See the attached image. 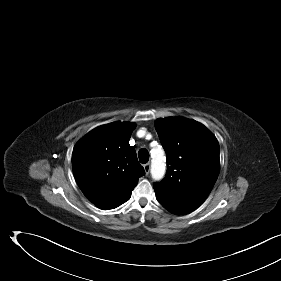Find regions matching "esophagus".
I'll return each instance as SVG.
<instances>
[{"label": "esophagus", "mask_w": 281, "mask_h": 281, "mask_svg": "<svg viewBox=\"0 0 281 281\" xmlns=\"http://www.w3.org/2000/svg\"><path fill=\"white\" fill-rule=\"evenodd\" d=\"M143 168H144L146 175H148L149 171H150V163L144 164Z\"/></svg>", "instance_id": "1"}]
</instances>
